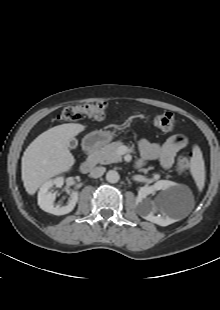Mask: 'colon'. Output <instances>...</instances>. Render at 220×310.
Returning <instances> with one entry per match:
<instances>
[{
	"label": "colon",
	"mask_w": 220,
	"mask_h": 310,
	"mask_svg": "<svg viewBox=\"0 0 220 310\" xmlns=\"http://www.w3.org/2000/svg\"><path fill=\"white\" fill-rule=\"evenodd\" d=\"M107 113V105L102 101L88 102L81 105L65 107L59 119L63 121H78L83 117H92L95 119H104ZM175 117L170 112H164L152 117L151 123L156 128L163 131H171L175 126ZM192 153L182 155L177 162V171L187 173L191 169Z\"/></svg>",
	"instance_id": "5ec220e1"
}]
</instances>
